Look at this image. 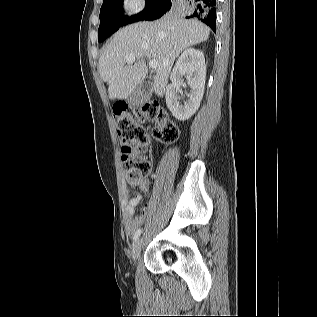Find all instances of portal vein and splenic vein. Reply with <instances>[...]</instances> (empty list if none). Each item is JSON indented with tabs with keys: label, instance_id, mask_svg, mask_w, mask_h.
<instances>
[{
	"label": "portal vein and splenic vein",
	"instance_id": "18ae733b",
	"mask_svg": "<svg viewBox=\"0 0 317 317\" xmlns=\"http://www.w3.org/2000/svg\"><path fill=\"white\" fill-rule=\"evenodd\" d=\"M125 60L127 63H134L135 62V56L133 54H129L125 57ZM149 67L151 69H157L158 67V61L157 60H150Z\"/></svg>",
	"mask_w": 317,
	"mask_h": 317
}]
</instances>
